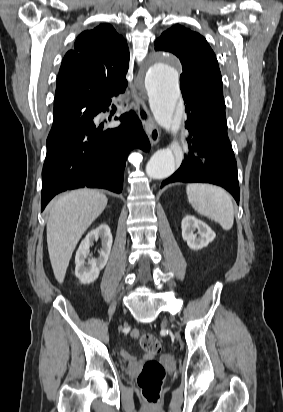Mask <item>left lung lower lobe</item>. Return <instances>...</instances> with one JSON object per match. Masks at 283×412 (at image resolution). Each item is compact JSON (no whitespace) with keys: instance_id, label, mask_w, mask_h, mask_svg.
Listing matches in <instances>:
<instances>
[{"instance_id":"1","label":"left lung lower lobe","mask_w":283,"mask_h":412,"mask_svg":"<svg viewBox=\"0 0 283 412\" xmlns=\"http://www.w3.org/2000/svg\"><path fill=\"white\" fill-rule=\"evenodd\" d=\"M187 150L180 168L164 180L161 188L173 182H203L229 191L239 204L237 163L224 120H211L196 107L186 105Z\"/></svg>"}]
</instances>
